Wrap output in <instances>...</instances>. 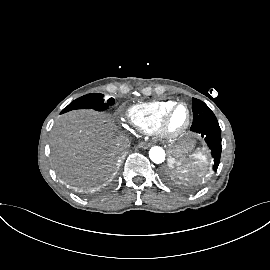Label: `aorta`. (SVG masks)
I'll return each instance as SVG.
<instances>
[{"label":"aorta","instance_id":"1","mask_svg":"<svg viewBox=\"0 0 270 270\" xmlns=\"http://www.w3.org/2000/svg\"><path fill=\"white\" fill-rule=\"evenodd\" d=\"M149 157L154 163L160 164L165 160V151L159 146H153L149 150Z\"/></svg>","mask_w":270,"mask_h":270}]
</instances>
